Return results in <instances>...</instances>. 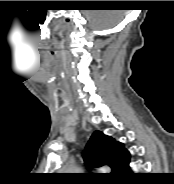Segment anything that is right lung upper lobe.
Segmentation results:
<instances>
[{"label": "right lung upper lobe", "mask_w": 174, "mask_h": 184, "mask_svg": "<svg viewBox=\"0 0 174 184\" xmlns=\"http://www.w3.org/2000/svg\"><path fill=\"white\" fill-rule=\"evenodd\" d=\"M129 159L130 154L124 145L101 131H95L92 134L84 151V161L87 166L107 165L111 167L114 175L118 174Z\"/></svg>", "instance_id": "obj_1"}]
</instances>
